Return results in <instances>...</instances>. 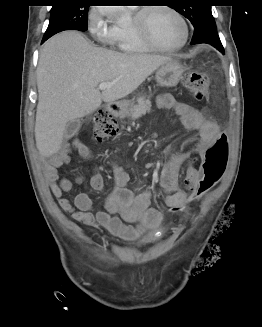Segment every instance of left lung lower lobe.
Instances as JSON below:
<instances>
[{
  "label": "left lung lower lobe",
  "instance_id": "0a47b994",
  "mask_svg": "<svg viewBox=\"0 0 262 327\" xmlns=\"http://www.w3.org/2000/svg\"><path fill=\"white\" fill-rule=\"evenodd\" d=\"M200 43L211 44L224 54V48L217 34L214 18L207 20L195 30L191 44Z\"/></svg>",
  "mask_w": 262,
  "mask_h": 327
}]
</instances>
